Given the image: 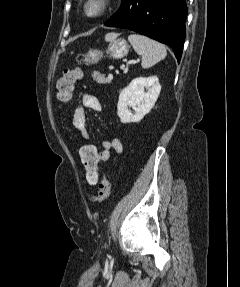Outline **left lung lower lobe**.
I'll return each mask as SVG.
<instances>
[{
	"label": "left lung lower lobe",
	"instance_id": "obj_1",
	"mask_svg": "<svg viewBox=\"0 0 240 287\" xmlns=\"http://www.w3.org/2000/svg\"><path fill=\"white\" fill-rule=\"evenodd\" d=\"M187 13L185 0H123L105 25L126 28L168 44L179 62Z\"/></svg>",
	"mask_w": 240,
	"mask_h": 287
}]
</instances>
